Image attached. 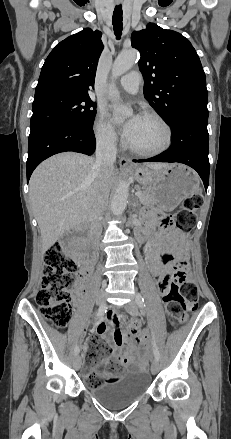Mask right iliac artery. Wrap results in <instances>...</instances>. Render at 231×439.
Returning a JSON list of instances; mask_svg holds the SVG:
<instances>
[{
  "label": "right iliac artery",
  "instance_id": "82829eb1",
  "mask_svg": "<svg viewBox=\"0 0 231 439\" xmlns=\"http://www.w3.org/2000/svg\"><path fill=\"white\" fill-rule=\"evenodd\" d=\"M105 312H106L105 308L100 307V308L98 309L97 316L100 317V313H105ZM79 352H80V348H79L78 345H76V347L74 348V353H75V354H78Z\"/></svg>",
  "mask_w": 231,
  "mask_h": 439
}]
</instances>
